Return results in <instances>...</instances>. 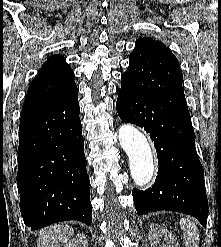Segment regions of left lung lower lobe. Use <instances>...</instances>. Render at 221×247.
<instances>
[{"label": "left lung lower lobe", "instance_id": "left-lung-lower-lobe-1", "mask_svg": "<svg viewBox=\"0 0 221 247\" xmlns=\"http://www.w3.org/2000/svg\"><path fill=\"white\" fill-rule=\"evenodd\" d=\"M120 119L150 134L157 151L159 171L153 186L132 191L139 215L168 210L196 217L206 227L208 201L204 171L199 161L189 112H182L139 95L125 76L117 89Z\"/></svg>", "mask_w": 221, "mask_h": 247}]
</instances>
